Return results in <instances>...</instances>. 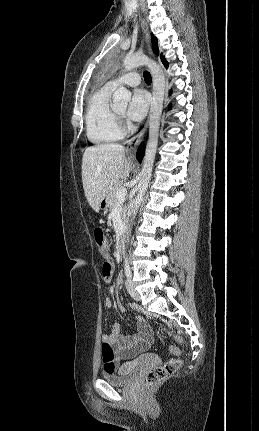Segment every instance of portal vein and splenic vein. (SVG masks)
Masks as SVG:
<instances>
[{"instance_id": "1", "label": "portal vein and splenic vein", "mask_w": 259, "mask_h": 431, "mask_svg": "<svg viewBox=\"0 0 259 431\" xmlns=\"http://www.w3.org/2000/svg\"><path fill=\"white\" fill-rule=\"evenodd\" d=\"M127 195V189L126 188H119L116 192V197L118 200H124Z\"/></svg>"}]
</instances>
